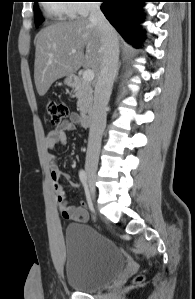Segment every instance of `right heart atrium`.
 I'll return each mask as SVG.
<instances>
[{"mask_svg":"<svg viewBox=\"0 0 195 299\" xmlns=\"http://www.w3.org/2000/svg\"><path fill=\"white\" fill-rule=\"evenodd\" d=\"M91 2L93 0H73L70 2L73 15L87 16L93 10Z\"/></svg>","mask_w":195,"mask_h":299,"instance_id":"1","label":"right heart atrium"}]
</instances>
